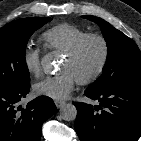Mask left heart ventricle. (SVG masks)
Segmentation results:
<instances>
[{
  "label": "left heart ventricle",
  "mask_w": 141,
  "mask_h": 141,
  "mask_svg": "<svg viewBox=\"0 0 141 141\" xmlns=\"http://www.w3.org/2000/svg\"><path fill=\"white\" fill-rule=\"evenodd\" d=\"M101 53L102 49L99 42L95 40L89 41L76 59L71 60L65 56L61 71L70 72L76 79L87 76L97 66Z\"/></svg>",
  "instance_id": "b2bd125f"
}]
</instances>
